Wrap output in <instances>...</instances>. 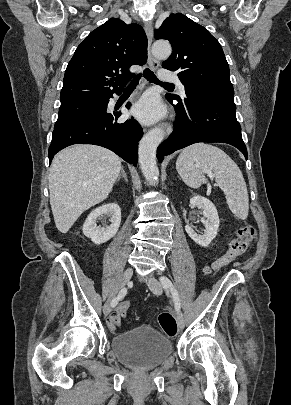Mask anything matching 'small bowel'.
Listing matches in <instances>:
<instances>
[{
  "instance_id": "c3829d8e",
  "label": "small bowel",
  "mask_w": 291,
  "mask_h": 405,
  "mask_svg": "<svg viewBox=\"0 0 291 405\" xmlns=\"http://www.w3.org/2000/svg\"><path fill=\"white\" fill-rule=\"evenodd\" d=\"M108 327L112 331H116L120 327V321L113 320L111 317L108 320Z\"/></svg>"
}]
</instances>
